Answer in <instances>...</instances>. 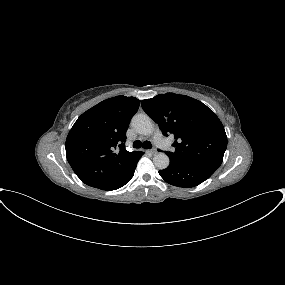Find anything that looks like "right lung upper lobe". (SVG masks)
I'll list each match as a JSON object with an SVG mask.
<instances>
[{"instance_id":"obj_1","label":"right lung upper lobe","mask_w":285,"mask_h":285,"mask_svg":"<svg viewBox=\"0 0 285 285\" xmlns=\"http://www.w3.org/2000/svg\"><path fill=\"white\" fill-rule=\"evenodd\" d=\"M135 97L106 99L83 113L66 139V156L85 184L100 188L125 178L141 152L125 149L126 131L139 108Z\"/></svg>"}]
</instances>
